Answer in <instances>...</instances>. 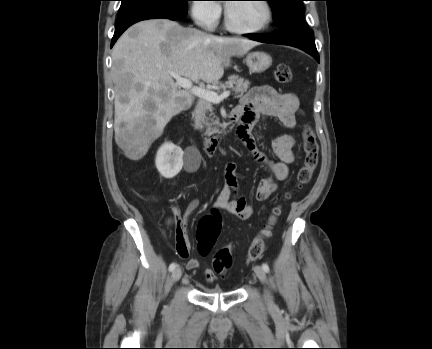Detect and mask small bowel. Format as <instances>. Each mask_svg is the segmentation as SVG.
<instances>
[{"instance_id":"obj_1","label":"small bowel","mask_w":432,"mask_h":349,"mask_svg":"<svg viewBox=\"0 0 432 349\" xmlns=\"http://www.w3.org/2000/svg\"><path fill=\"white\" fill-rule=\"evenodd\" d=\"M239 113V124L235 134L238 141L246 149L252 160L265 166L269 171L267 178L261 179L255 189V198L258 201L267 200L276 190V181H284L289 175V165L295 161L294 146L295 138L290 134L280 135L272 142L275 160L269 159L256 145L251 133L252 128L260 118L267 116L277 119L283 126L293 129L297 124V116L301 114L300 104L294 93H281L271 86H259L251 88L240 100L235 108ZM200 164L199 156L189 151L185 155V170L194 172ZM241 177L237 172V165L229 162L224 168V186L220 190L215 207L218 210L234 215L240 220L251 217L253 209L246 198L239 194V183ZM198 199H192L186 212L192 213L198 207ZM176 218V246L179 256L183 259L189 257L190 244L185 233L180 211L175 208ZM199 259L191 258L187 261L186 268L195 270L199 267ZM207 281L215 280V274L211 269L204 272Z\"/></svg>"}]
</instances>
